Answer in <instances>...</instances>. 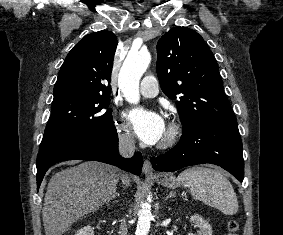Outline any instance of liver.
<instances>
[{"label":"liver","mask_w":283,"mask_h":235,"mask_svg":"<svg viewBox=\"0 0 283 235\" xmlns=\"http://www.w3.org/2000/svg\"><path fill=\"white\" fill-rule=\"evenodd\" d=\"M119 178L130 184V178L116 167L95 161L56 173L47 186L42 209L45 235H62L79 218L97 210L112 196Z\"/></svg>","instance_id":"6515ba94"}]
</instances>
